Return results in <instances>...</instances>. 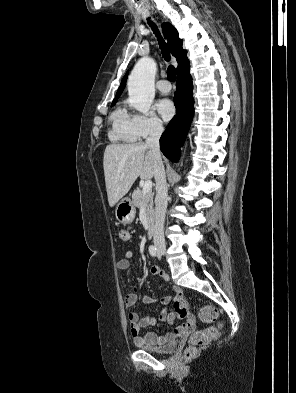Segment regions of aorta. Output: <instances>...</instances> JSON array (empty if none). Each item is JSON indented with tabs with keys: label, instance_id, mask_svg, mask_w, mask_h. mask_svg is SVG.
Instances as JSON below:
<instances>
[{
	"label": "aorta",
	"instance_id": "aorta-1",
	"mask_svg": "<svg viewBox=\"0 0 296 393\" xmlns=\"http://www.w3.org/2000/svg\"><path fill=\"white\" fill-rule=\"evenodd\" d=\"M156 63L149 57L141 58L128 78V93L131 105L147 115L155 96L154 79Z\"/></svg>",
	"mask_w": 296,
	"mask_h": 393
}]
</instances>
